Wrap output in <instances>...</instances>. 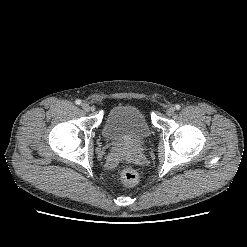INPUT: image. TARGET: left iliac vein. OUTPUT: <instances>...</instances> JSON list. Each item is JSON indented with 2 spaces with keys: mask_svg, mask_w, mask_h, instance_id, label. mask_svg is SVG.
Wrapping results in <instances>:
<instances>
[{
  "mask_svg": "<svg viewBox=\"0 0 247 247\" xmlns=\"http://www.w3.org/2000/svg\"><path fill=\"white\" fill-rule=\"evenodd\" d=\"M174 112H175V108L174 107H170V108L167 109L166 114L168 116H172L174 114Z\"/></svg>",
  "mask_w": 247,
  "mask_h": 247,
  "instance_id": "obj_1",
  "label": "left iliac vein"
}]
</instances>
